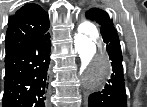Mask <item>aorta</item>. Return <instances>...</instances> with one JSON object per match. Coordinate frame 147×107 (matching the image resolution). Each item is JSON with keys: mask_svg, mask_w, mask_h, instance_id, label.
Returning <instances> with one entry per match:
<instances>
[{"mask_svg": "<svg viewBox=\"0 0 147 107\" xmlns=\"http://www.w3.org/2000/svg\"><path fill=\"white\" fill-rule=\"evenodd\" d=\"M74 46L81 62V74L87 89L104 86L111 78L112 68L96 28L84 23L74 36Z\"/></svg>", "mask_w": 147, "mask_h": 107, "instance_id": "aorta-1", "label": "aorta"}]
</instances>
